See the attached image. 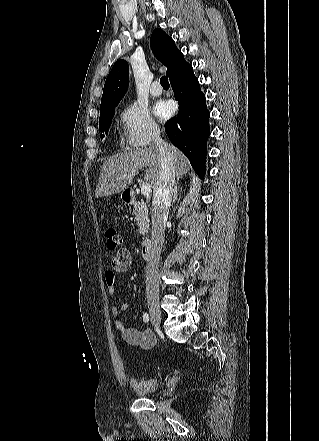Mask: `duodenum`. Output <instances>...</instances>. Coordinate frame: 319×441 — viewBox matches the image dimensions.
I'll return each instance as SVG.
<instances>
[{"label":"duodenum","mask_w":319,"mask_h":441,"mask_svg":"<svg viewBox=\"0 0 319 441\" xmlns=\"http://www.w3.org/2000/svg\"><path fill=\"white\" fill-rule=\"evenodd\" d=\"M123 198L125 200V202L127 203H133L135 201V195L134 192L131 190H125L123 193ZM154 243L153 241L146 239L142 242V246H141V254L142 257L149 261L152 259L153 257V253H154Z\"/></svg>","instance_id":"1"}]
</instances>
